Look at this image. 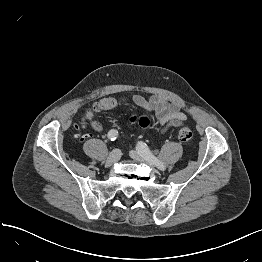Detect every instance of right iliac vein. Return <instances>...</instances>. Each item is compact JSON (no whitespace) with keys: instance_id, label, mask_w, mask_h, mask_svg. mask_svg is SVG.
I'll use <instances>...</instances> for the list:
<instances>
[{"instance_id":"63e3f726","label":"right iliac vein","mask_w":262,"mask_h":262,"mask_svg":"<svg viewBox=\"0 0 262 262\" xmlns=\"http://www.w3.org/2000/svg\"><path fill=\"white\" fill-rule=\"evenodd\" d=\"M121 157V152L119 149H114L110 155L108 156L105 165L107 167H111L112 165L116 164Z\"/></svg>"}]
</instances>
